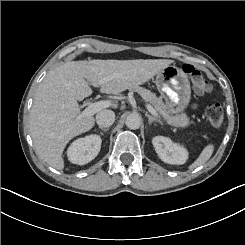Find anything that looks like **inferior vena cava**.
<instances>
[{
  "label": "inferior vena cava",
  "instance_id": "inferior-vena-cava-1",
  "mask_svg": "<svg viewBox=\"0 0 245 245\" xmlns=\"http://www.w3.org/2000/svg\"><path fill=\"white\" fill-rule=\"evenodd\" d=\"M115 113L112 110H102L96 115V123L101 127H108L113 124Z\"/></svg>",
  "mask_w": 245,
  "mask_h": 245
}]
</instances>
